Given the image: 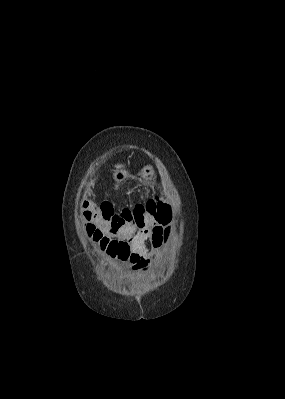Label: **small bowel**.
<instances>
[{
  "label": "small bowel",
  "mask_w": 285,
  "mask_h": 399,
  "mask_svg": "<svg viewBox=\"0 0 285 399\" xmlns=\"http://www.w3.org/2000/svg\"><path fill=\"white\" fill-rule=\"evenodd\" d=\"M141 208L123 211V216L126 219L116 231L115 234L119 238L128 240L135 248V255L139 258L150 259L155 255V251L160 248L164 238V230L161 226L150 229L145 222H155V214H144L145 221L142 225L137 224ZM112 238V237H111ZM150 242V249L143 247V242Z\"/></svg>",
  "instance_id": "c3829d8e"
}]
</instances>
